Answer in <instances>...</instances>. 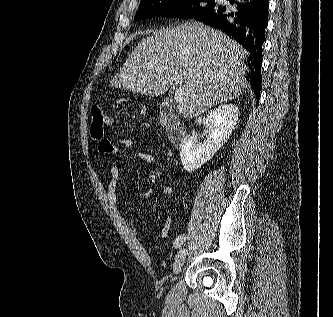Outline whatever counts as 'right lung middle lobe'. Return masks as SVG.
I'll return each mask as SVG.
<instances>
[{
    "instance_id": "right-lung-middle-lobe-1",
    "label": "right lung middle lobe",
    "mask_w": 333,
    "mask_h": 317,
    "mask_svg": "<svg viewBox=\"0 0 333 317\" xmlns=\"http://www.w3.org/2000/svg\"><path fill=\"white\" fill-rule=\"evenodd\" d=\"M212 5L211 1L206 0H141L135 19L152 16L193 18ZM177 9L179 14L174 12Z\"/></svg>"
}]
</instances>
